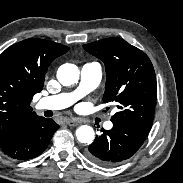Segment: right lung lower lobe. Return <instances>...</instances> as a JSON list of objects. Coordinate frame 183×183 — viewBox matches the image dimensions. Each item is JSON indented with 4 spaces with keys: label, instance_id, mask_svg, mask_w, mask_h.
I'll return each instance as SVG.
<instances>
[{
    "label": "right lung lower lobe",
    "instance_id": "98d812e1",
    "mask_svg": "<svg viewBox=\"0 0 183 183\" xmlns=\"http://www.w3.org/2000/svg\"><path fill=\"white\" fill-rule=\"evenodd\" d=\"M59 128L52 119L40 116L28 117L19 122L0 149L9 157L27 160L39 156L48 146L53 134Z\"/></svg>",
    "mask_w": 183,
    "mask_h": 183
}]
</instances>
